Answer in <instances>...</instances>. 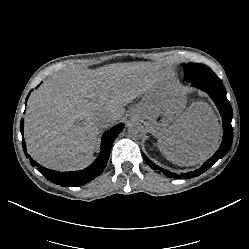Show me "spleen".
Here are the masks:
<instances>
[{
    "instance_id": "3e777b00",
    "label": "spleen",
    "mask_w": 249,
    "mask_h": 249,
    "mask_svg": "<svg viewBox=\"0 0 249 249\" xmlns=\"http://www.w3.org/2000/svg\"><path fill=\"white\" fill-rule=\"evenodd\" d=\"M158 147H159V149L163 152V154H164L170 161L174 162V160L172 159L171 151H170V149H169L167 146L164 147V149H165L166 151H164L159 145H158Z\"/></svg>"
}]
</instances>
